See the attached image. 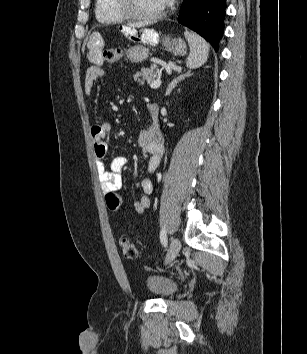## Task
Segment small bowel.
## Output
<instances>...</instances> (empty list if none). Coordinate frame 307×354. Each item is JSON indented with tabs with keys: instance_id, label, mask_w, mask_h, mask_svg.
Returning <instances> with one entry per match:
<instances>
[{
	"instance_id": "c3829d8e",
	"label": "small bowel",
	"mask_w": 307,
	"mask_h": 354,
	"mask_svg": "<svg viewBox=\"0 0 307 354\" xmlns=\"http://www.w3.org/2000/svg\"><path fill=\"white\" fill-rule=\"evenodd\" d=\"M138 34V29H125L124 31L125 38H138ZM103 48L104 42L100 38H93L88 43L87 60L90 65L84 75V90L87 95L91 94L94 83L105 76ZM145 110L153 120V123L139 133L138 144L147 161L148 171L154 172L164 154L163 137L156 123V106L146 105ZM111 130L110 122H101L91 127V137L94 143L98 176L107 207L112 211H117L123 205V199L117 194V191L122 186V171L127 159L124 156H116L111 160L109 168H106L105 160L107 158ZM139 186L143 195L132 206V211L136 214H142L150 207V195L154 189L152 181L145 177L139 180Z\"/></svg>"
}]
</instances>
